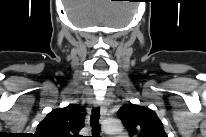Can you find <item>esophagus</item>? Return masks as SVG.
Masks as SVG:
<instances>
[{"mask_svg": "<svg viewBox=\"0 0 206 137\" xmlns=\"http://www.w3.org/2000/svg\"><path fill=\"white\" fill-rule=\"evenodd\" d=\"M96 106H97V107H100L101 122H103L104 119H105V117H106L107 109H106V107L104 106V104H102V103H97Z\"/></svg>", "mask_w": 206, "mask_h": 137, "instance_id": "esophagus-1", "label": "esophagus"}]
</instances>
